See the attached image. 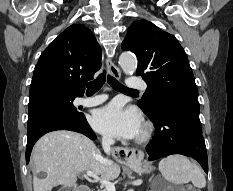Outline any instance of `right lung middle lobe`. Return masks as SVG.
<instances>
[{"mask_svg":"<svg viewBox=\"0 0 233 191\" xmlns=\"http://www.w3.org/2000/svg\"><path fill=\"white\" fill-rule=\"evenodd\" d=\"M76 96H71L55 91H45L41 92L29 99L28 111L31 112L37 107L40 106H52L64 111L83 114L77 110V108L73 105V101Z\"/></svg>","mask_w":233,"mask_h":191,"instance_id":"obj_1","label":"right lung middle lobe"}]
</instances>
